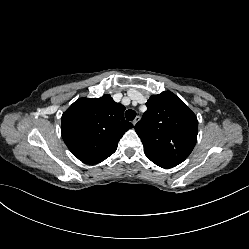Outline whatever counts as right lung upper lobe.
Segmentation results:
<instances>
[{"label": "right lung upper lobe", "instance_id": "right-lung-upper-lobe-1", "mask_svg": "<svg viewBox=\"0 0 249 249\" xmlns=\"http://www.w3.org/2000/svg\"><path fill=\"white\" fill-rule=\"evenodd\" d=\"M124 110L107 94L78 99L62 115L65 144L82 162H102L116 151L120 138L133 127L124 119Z\"/></svg>", "mask_w": 249, "mask_h": 249}]
</instances>
